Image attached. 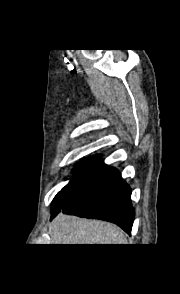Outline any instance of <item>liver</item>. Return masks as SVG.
Masks as SVG:
<instances>
[{
    "label": "liver",
    "mask_w": 180,
    "mask_h": 294,
    "mask_svg": "<svg viewBox=\"0 0 180 294\" xmlns=\"http://www.w3.org/2000/svg\"><path fill=\"white\" fill-rule=\"evenodd\" d=\"M49 234L53 244H127L116 225L63 214L49 225Z\"/></svg>",
    "instance_id": "liver-1"
}]
</instances>
